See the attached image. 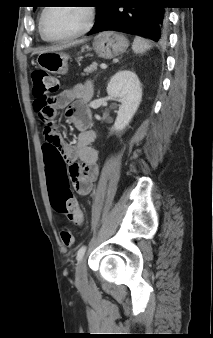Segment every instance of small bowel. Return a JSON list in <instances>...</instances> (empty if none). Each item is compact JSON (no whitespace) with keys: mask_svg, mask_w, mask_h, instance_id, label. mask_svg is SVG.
Here are the masks:
<instances>
[{"mask_svg":"<svg viewBox=\"0 0 213 338\" xmlns=\"http://www.w3.org/2000/svg\"><path fill=\"white\" fill-rule=\"evenodd\" d=\"M91 96V85L78 83L60 92L55 99L53 106L56 109L69 108L66 115L73 120L80 134L75 145L63 141L59 145L44 144L45 168L50 190L57 184H65L70 180L78 195L86 196L92 191L93 182L99 173L98 152L92 147L96 134L89 129L90 116L87 110L77 112L79 106L87 103Z\"/></svg>","mask_w":213,"mask_h":338,"instance_id":"small-bowel-1","label":"small bowel"}]
</instances>
